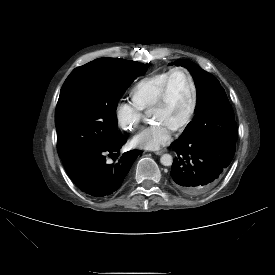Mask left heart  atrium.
<instances>
[{
    "label": "left heart atrium",
    "instance_id": "1",
    "mask_svg": "<svg viewBox=\"0 0 275 275\" xmlns=\"http://www.w3.org/2000/svg\"><path fill=\"white\" fill-rule=\"evenodd\" d=\"M173 131L174 128L157 120L136 134L132 142L139 148L157 150L170 141Z\"/></svg>",
    "mask_w": 275,
    "mask_h": 275
}]
</instances>
